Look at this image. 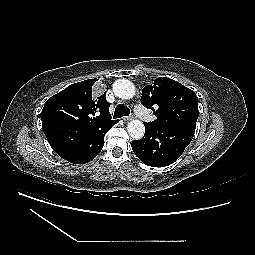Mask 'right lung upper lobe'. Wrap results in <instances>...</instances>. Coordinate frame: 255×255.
Masks as SVG:
<instances>
[{
  "instance_id": "1",
  "label": "right lung upper lobe",
  "mask_w": 255,
  "mask_h": 255,
  "mask_svg": "<svg viewBox=\"0 0 255 255\" xmlns=\"http://www.w3.org/2000/svg\"><path fill=\"white\" fill-rule=\"evenodd\" d=\"M96 81L88 79L72 84L44 105L40 115L43 131L59 156L92 131L117 123L111 119L106 94H92Z\"/></svg>"
}]
</instances>
